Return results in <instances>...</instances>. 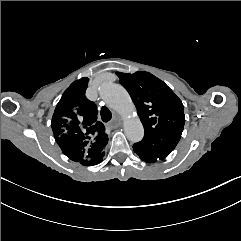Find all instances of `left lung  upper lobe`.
<instances>
[{
  "label": "left lung upper lobe",
  "instance_id": "left-lung-upper-lobe-1",
  "mask_svg": "<svg viewBox=\"0 0 241 241\" xmlns=\"http://www.w3.org/2000/svg\"><path fill=\"white\" fill-rule=\"evenodd\" d=\"M116 74L137 108L145 130L143 139H154L160 132L183 131V104L163 81L145 71Z\"/></svg>",
  "mask_w": 241,
  "mask_h": 241
}]
</instances>
